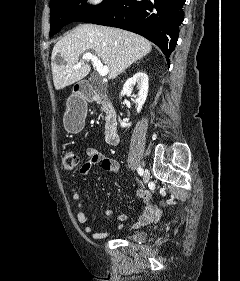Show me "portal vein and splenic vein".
Listing matches in <instances>:
<instances>
[{
	"mask_svg": "<svg viewBox=\"0 0 240 281\" xmlns=\"http://www.w3.org/2000/svg\"><path fill=\"white\" fill-rule=\"evenodd\" d=\"M83 61H92L95 69L102 77L106 76L109 72V68L107 66H103L98 57L92 53H84L82 56V60L76 66H74V68L80 67Z\"/></svg>",
	"mask_w": 240,
	"mask_h": 281,
	"instance_id": "18ae733b",
	"label": "portal vein and splenic vein"
}]
</instances>
